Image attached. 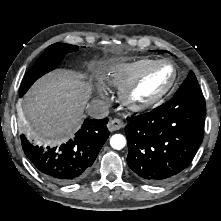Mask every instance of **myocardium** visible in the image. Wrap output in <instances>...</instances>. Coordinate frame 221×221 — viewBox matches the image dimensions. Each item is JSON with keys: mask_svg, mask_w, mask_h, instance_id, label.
<instances>
[{"mask_svg": "<svg viewBox=\"0 0 221 221\" xmlns=\"http://www.w3.org/2000/svg\"><path fill=\"white\" fill-rule=\"evenodd\" d=\"M164 67L170 72V77L166 85L159 91L155 92L147 98H138L135 92L144 79L156 68ZM176 67L166 60H158L151 62L137 76L126 83L120 90V99L122 103L131 111L143 112L157 106L173 89L177 81Z\"/></svg>", "mask_w": 221, "mask_h": 221, "instance_id": "f54148a6", "label": "myocardium"}]
</instances>
